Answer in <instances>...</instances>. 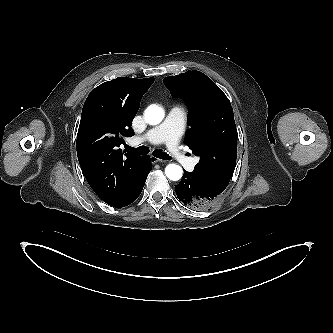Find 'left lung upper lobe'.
I'll list each match as a JSON object with an SVG mask.
<instances>
[{
    "label": "left lung upper lobe",
    "instance_id": "5c2ea615",
    "mask_svg": "<svg viewBox=\"0 0 333 333\" xmlns=\"http://www.w3.org/2000/svg\"><path fill=\"white\" fill-rule=\"evenodd\" d=\"M163 82L172 96L184 99L191 109L185 144L200 156L192 173L223 192L237 158V130L230 101L199 71L166 77Z\"/></svg>",
    "mask_w": 333,
    "mask_h": 333
}]
</instances>
